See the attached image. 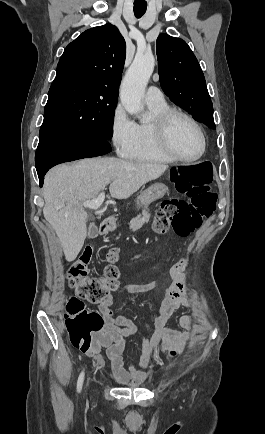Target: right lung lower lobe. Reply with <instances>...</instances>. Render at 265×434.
<instances>
[{
	"label": "right lung lower lobe",
	"instance_id": "obj_1",
	"mask_svg": "<svg viewBox=\"0 0 265 434\" xmlns=\"http://www.w3.org/2000/svg\"><path fill=\"white\" fill-rule=\"evenodd\" d=\"M111 146L106 140L85 139L47 129L40 134L35 155L40 186L46 172L53 166L73 160L107 154Z\"/></svg>",
	"mask_w": 265,
	"mask_h": 434
}]
</instances>
